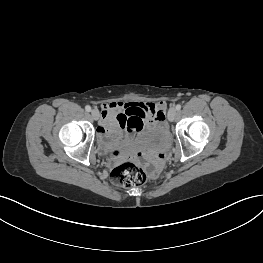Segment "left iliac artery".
<instances>
[{
  "label": "left iliac artery",
  "instance_id": "44dca946",
  "mask_svg": "<svg viewBox=\"0 0 263 263\" xmlns=\"http://www.w3.org/2000/svg\"><path fill=\"white\" fill-rule=\"evenodd\" d=\"M180 109H181V105H180V104H177V105H176V110L179 111Z\"/></svg>",
  "mask_w": 263,
  "mask_h": 263
}]
</instances>
